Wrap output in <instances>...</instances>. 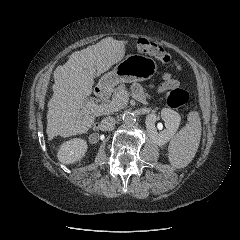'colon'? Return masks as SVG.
Masks as SVG:
<instances>
[{
	"label": "colon",
	"mask_w": 240,
	"mask_h": 240,
	"mask_svg": "<svg viewBox=\"0 0 240 240\" xmlns=\"http://www.w3.org/2000/svg\"><path fill=\"white\" fill-rule=\"evenodd\" d=\"M135 48L142 53L155 56L164 64H171L172 56L165 49L147 39L140 38L134 41ZM188 101V93L181 88L172 89L166 96V102L170 107L177 108Z\"/></svg>",
	"instance_id": "obj_1"
}]
</instances>
